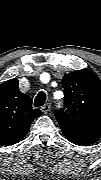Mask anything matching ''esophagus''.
Wrapping results in <instances>:
<instances>
[{
  "instance_id": "1",
  "label": "esophagus",
  "mask_w": 101,
  "mask_h": 180,
  "mask_svg": "<svg viewBox=\"0 0 101 180\" xmlns=\"http://www.w3.org/2000/svg\"><path fill=\"white\" fill-rule=\"evenodd\" d=\"M50 109H51L50 104H45L44 106L41 107V111H42L44 114L49 113V112H50Z\"/></svg>"
}]
</instances>
